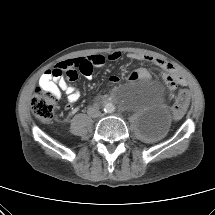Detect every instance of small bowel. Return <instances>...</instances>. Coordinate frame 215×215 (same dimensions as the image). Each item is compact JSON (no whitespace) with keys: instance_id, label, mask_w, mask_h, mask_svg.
<instances>
[{"instance_id":"1","label":"small bowel","mask_w":215,"mask_h":215,"mask_svg":"<svg viewBox=\"0 0 215 215\" xmlns=\"http://www.w3.org/2000/svg\"><path fill=\"white\" fill-rule=\"evenodd\" d=\"M121 57V53L118 51L111 52L107 57L103 55H90L86 58H72L67 59L59 64H57L53 69L46 71L40 78L39 84L40 87L53 92L57 98L61 96V92H64L67 95V109H71L72 105L77 102L80 98V91L75 86L70 85L64 75H56L55 72L61 71H70L66 76L68 80L75 81L78 78V72L83 74L85 77L90 78L92 76V71L94 67H101L105 64L106 60L117 61ZM128 57L131 60L135 61H151L156 63L162 69L165 70V73L171 71L169 64L153 57L139 55L135 53H130ZM85 65L86 70H82L81 66ZM150 77V72L145 68H139L130 75L131 81L144 80ZM112 83L119 82L117 76H112L110 78ZM179 84L183 85L184 81L181 80Z\"/></svg>"}]
</instances>
